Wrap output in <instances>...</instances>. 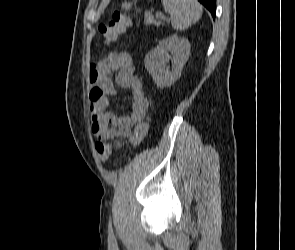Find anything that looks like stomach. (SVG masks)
I'll use <instances>...</instances> for the list:
<instances>
[{
    "label": "stomach",
    "mask_w": 295,
    "mask_h": 250,
    "mask_svg": "<svg viewBox=\"0 0 295 250\" xmlns=\"http://www.w3.org/2000/svg\"><path fill=\"white\" fill-rule=\"evenodd\" d=\"M131 5H132L131 3L125 2V3L122 4V8L129 9L131 7Z\"/></svg>",
    "instance_id": "obj_1"
}]
</instances>
